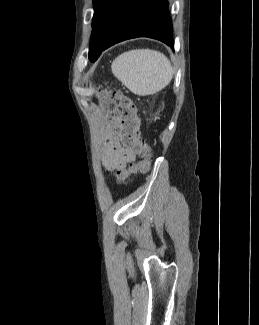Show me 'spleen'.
Here are the masks:
<instances>
[{
    "instance_id": "1",
    "label": "spleen",
    "mask_w": 259,
    "mask_h": 325,
    "mask_svg": "<svg viewBox=\"0 0 259 325\" xmlns=\"http://www.w3.org/2000/svg\"><path fill=\"white\" fill-rule=\"evenodd\" d=\"M112 73L132 93L151 95L166 87L173 76L169 59L151 49H134L119 55L111 65Z\"/></svg>"
}]
</instances>
